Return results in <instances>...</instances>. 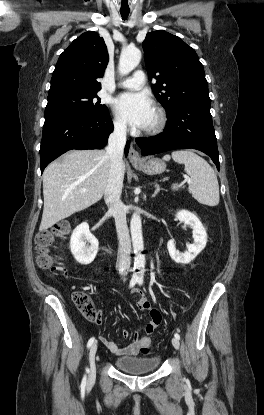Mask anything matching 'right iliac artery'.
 <instances>
[{
    "instance_id": "1",
    "label": "right iliac artery",
    "mask_w": 264,
    "mask_h": 415,
    "mask_svg": "<svg viewBox=\"0 0 264 415\" xmlns=\"http://www.w3.org/2000/svg\"><path fill=\"white\" fill-rule=\"evenodd\" d=\"M136 269H137L136 267H133L132 268V271H135ZM137 281H138V278L135 277V276H133L132 279H131V281H130V287L135 286V284L137 283ZM94 341H95V337H91L89 339L88 343H87V347L90 348L92 346V344L94 343ZM86 380H87V376L84 375L83 380H82V385L83 386L86 385Z\"/></svg>"
}]
</instances>
